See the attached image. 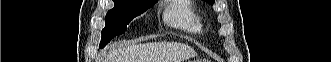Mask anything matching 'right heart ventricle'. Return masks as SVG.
Listing matches in <instances>:
<instances>
[{"mask_svg": "<svg viewBox=\"0 0 331 62\" xmlns=\"http://www.w3.org/2000/svg\"><path fill=\"white\" fill-rule=\"evenodd\" d=\"M165 19L168 24L191 33H201L203 29L198 7L194 1H170L165 12Z\"/></svg>", "mask_w": 331, "mask_h": 62, "instance_id": "obj_1", "label": "right heart ventricle"}]
</instances>
